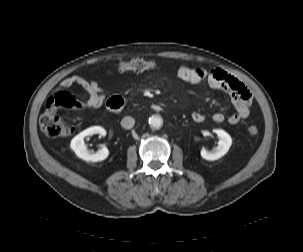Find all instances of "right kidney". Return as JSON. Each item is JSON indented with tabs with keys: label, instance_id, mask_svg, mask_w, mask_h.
<instances>
[{
	"label": "right kidney",
	"instance_id": "ca27d5eb",
	"mask_svg": "<svg viewBox=\"0 0 303 252\" xmlns=\"http://www.w3.org/2000/svg\"><path fill=\"white\" fill-rule=\"evenodd\" d=\"M93 134H100L102 136H105L106 131L101 126H93L87 128L72 139L70 147L79 158L85 161H103L109 156V150L105 146H103L97 152H89L84 143V138L86 136H92Z\"/></svg>",
	"mask_w": 303,
	"mask_h": 252
}]
</instances>
